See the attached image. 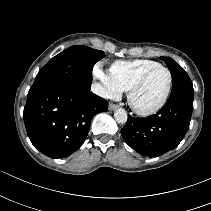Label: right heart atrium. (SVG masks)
<instances>
[{"instance_id":"right-heart-atrium-1","label":"right heart atrium","mask_w":211,"mask_h":211,"mask_svg":"<svg viewBox=\"0 0 211 211\" xmlns=\"http://www.w3.org/2000/svg\"><path fill=\"white\" fill-rule=\"evenodd\" d=\"M94 76L100 82V94L106 98H117L122 90L113 80L110 72L105 71L100 65H96L93 70Z\"/></svg>"}]
</instances>
